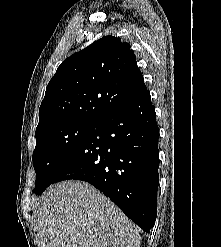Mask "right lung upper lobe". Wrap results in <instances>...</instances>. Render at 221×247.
I'll return each instance as SVG.
<instances>
[{
    "label": "right lung upper lobe",
    "mask_w": 221,
    "mask_h": 247,
    "mask_svg": "<svg viewBox=\"0 0 221 247\" xmlns=\"http://www.w3.org/2000/svg\"><path fill=\"white\" fill-rule=\"evenodd\" d=\"M146 91L130 45L105 36L58 67L46 88L35 134L71 122L98 124Z\"/></svg>",
    "instance_id": "obj_1"
}]
</instances>
